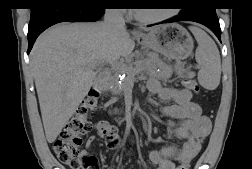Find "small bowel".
<instances>
[{"mask_svg":"<svg viewBox=\"0 0 252 169\" xmlns=\"http://www.w3.org/2000/svg\"><path fill=\"white\" fill-rule=\"evenodd\" d=\"M148 89L164 102L173 101L161 109L168 118L171 128L168 137L186 140L181 147L171 145L151 151L148 155L149 160L157 166V169H175V162L190 161L199 153L201 141L210 134L211 122L208 117L202 115L200 106L192 101V93L189 90L163 88L156 80L149 81ZM174 120H178L179 123L175 124ZM108 127L110 124L106 121L94 124V130L99 137H106ZM95 141L96 136H90L86 141V149H90Z\"/></svg>","mask_w":252,"mask_h":169,"instance_id":"small-bowel-1","label":"small bowel"}]
</instances>
